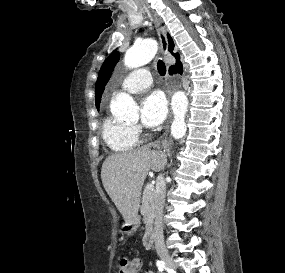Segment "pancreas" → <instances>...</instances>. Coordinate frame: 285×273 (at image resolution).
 I'll list each match as a JSON object with an SVG mask.
<instances>
[{
	"label": "pancreas",
	"instance_id": "1",
	"mask_svg": "<svg viewBox=\"0 0 285 273\" xmlns=\"http://www.w3.org/2000/svg\"><path fill=\"white\" fill-rule=\"evenodd\" d=\"M154 188H145L142 195L141 214L144 216L146 226H150L153 217Z\"/></svg>",
	"mask_w": 285,
	"mask_h": 273
}]
</instances>
